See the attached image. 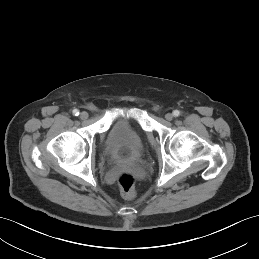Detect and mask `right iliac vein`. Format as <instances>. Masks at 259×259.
<instances>
[{
  "label": "right iliac vein",
  "instance_id": "63e3f726",
  "mask_svg": "<svg viewBox=\"0 0 259 259\" xmlns=\"http://www.w3.org/2000/svg\"><path fill=\"white\" fill-rule=\"evenodd\" d=\"M80 118H81L82 120L87 119V118H88V113H87L86 111L81 112V113H80Z\"/></svg>",
  "mask_w": 259,
  "mask_h": 259
}]
</instances>
